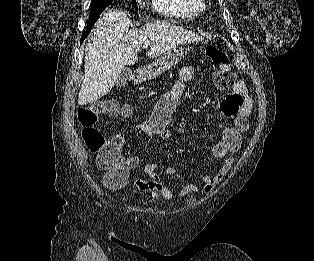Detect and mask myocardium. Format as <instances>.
<instances>
[{
  "instance_id": "1",
  "label": "myocardium",
  "mask_w": 314,
  "mask_h": 261,
  "mask_svg": "<svg viewBox=\"0 0 314 261\" xmlns=\"http://www.w3.org/2000/svg\"><path fill=\"white\" fill-rule=\"evenodd\" d=\"M191 8L197 12H203L206 9V0H189Z\"/></svg>"
}]
</instances>
